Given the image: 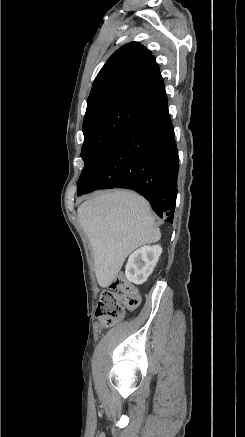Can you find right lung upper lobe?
Instances as JSON below:
<instances>
[{"label":"right lung upper lobe","mask_w":245,"mask_h":437,"mask_svg":"<svg viewBox=\"0 0 245 437\" xmlns=\"http://www.w3.org/2000/svg\"><path fill=\"white\" fill-rule=\"evenodd\" d=\"M167 99L160 69L151 51L131 42L102 67L87 99L86 113L100 105L125 102L140 109Z\"/></svg>","instance_id":"obj_1"}]
</instances>
